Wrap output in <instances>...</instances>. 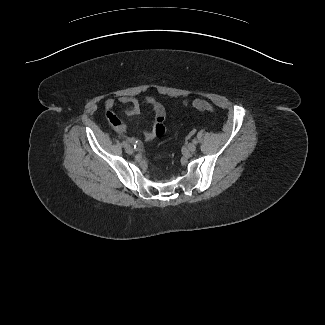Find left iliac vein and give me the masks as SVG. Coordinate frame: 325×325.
I'll return each instance as SVG.
<instances>
[{
	"mask_svg": "<svg viewBox=\"0 0 325 325\" xmlns=\"http://www.w3.org/2000/svg\"><path fill=\"white\" fill-rule=\"evenodd\" d=\"M187 148L190 152H194L196 150V146L194 143H189Z\"/></svg>",
	"mask_w": 325,
	"mask_h": 325,
	"instance_id": "1",
	"label": "left iliac vein"
}]
</instances>
